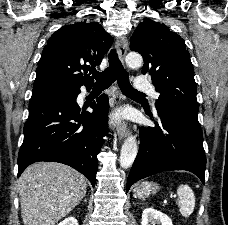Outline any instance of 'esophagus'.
I'll return each mask as SVG.
<instances>
[{"instance_id": "34e87169", "label": "esophagus", "mask_w": 228, "mask_h": 225, "mask_svg": "<svg viewBox=\"0 0 228 225\" xmlns=\"http://www.w3.org/2000/svg\"><path fill=\"white\" fill-rule=\"evenodd\" d=\"M116 50H117V54H118L120 61L122 63H124V58H125L126 52L128 50V39L126 36H121L117 39ZM118 99H119V102H123L124 97L121 94H119ZM116 134H117L118 139H120V140L126 138V136L128 135L126 123L121 121L117 124Z\"/></svg>"}]
</instances>
